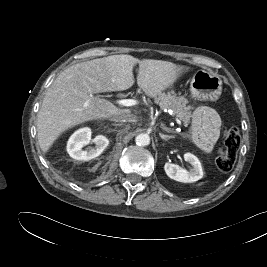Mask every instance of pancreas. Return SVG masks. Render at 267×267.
<instances>
[{
	"instance_id": "cf45deb5",
	"label": "pancreas",
	"mask_w": 267,
	"mask_h": 267,
	"mask_svg": "<svg viewBox=\"0 0 267 267\" xmlns=\"http://www.w3.org/2000/svg\"><path fill=\"white\" fill-rule=\"evenodd\" d=\"M155 103L159 104L161 109H171L176 118L181 120L185 125H189L192 107L187 106V102L183 97H177L173 91L160 93L155 98Z\"/></svg>"
}]
</instances>
